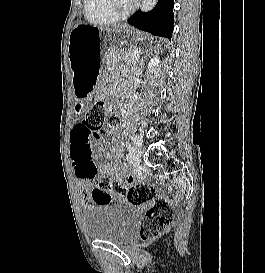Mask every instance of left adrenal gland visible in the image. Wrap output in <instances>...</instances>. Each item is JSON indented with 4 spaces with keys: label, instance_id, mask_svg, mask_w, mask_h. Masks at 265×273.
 Wrapping results in <instances>:
<instances>
[{
    "label": "left adrenal gland",
    "instance_id": "left-adrenal-gland-1",
    "mask_svg": "<svg viewBox=\"0 0 265 273\" xmlns=\"http://www.w3.org/2000/svg\"><path fill=\"white\" fill-rule=\"evenodd\" d=\"M140 65L143 64V59H141L140 61H138Z\"/></svg>",
    "mask_w": 265,
    "mask_h": 273
}]
</instances>
